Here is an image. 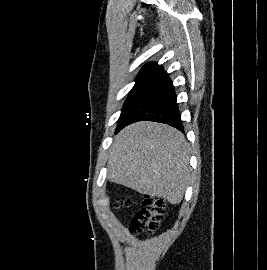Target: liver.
<instances>
[{"mask_svg": "<svg viewBox=\"0 0 267 270\" xmlns=\"http://www.w3.org/2000/svg\"><path fill=\"white\" fill-rule=\"evenodd\" d=\"M107 168L110 181L178 204L190 179L188 145L170 126L137 122L115 137Z\"/></svg>", "mask_w": 267, "mask_h": 270, "instance_id": "liver-1", "label": "liver"}]
</instances>
